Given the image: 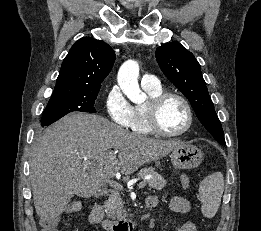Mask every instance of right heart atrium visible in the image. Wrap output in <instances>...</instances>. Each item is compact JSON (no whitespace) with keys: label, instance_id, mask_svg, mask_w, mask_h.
I'll return each instance as SVG.
<instances>
[{"label":"right heart atrium","instance_id":"d8ad5b80","mask_svg":"<svg viewBox=\"0 0 261 231\" xmlns=\"http://www.w3.org/2000/svg\"><path fill=\"white\" fill-rule=\"evenodd\" d=\"M105 108L111 121L128 128L132 120V106L118 86H113L105 98Z\"/></svg>","mask_w":261,"mask_h":231}]
</instances>
